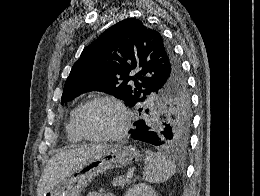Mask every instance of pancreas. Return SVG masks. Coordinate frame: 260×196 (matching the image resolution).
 <instances>
[{"label":"pancreas","mask_w":260,"mask_h":196,"mask_svg":"<svg viewBox=\"0 0 260 196\" xmlns=\"http://www.w3.org/2000/svg\"><path fill=\"white\" fill-rule=\"evenodd\" d=\"M113 186H120V188H124L125 184H130V180L126 178V176H118V178H114L112 180Z\"/></svg>","instance_id":"1"}]
</instances>
